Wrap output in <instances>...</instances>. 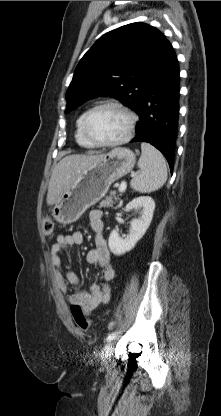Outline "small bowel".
Listing matches in <instances>:
<instances>
[{"label": "small bowel", "instance_id": "obj_1", "mask_svg": "<svg viewBox=\"0 0 221 416\" xmlns=\"http://www.w3.org/2000/svg\"><path fill=\"white\" fill-rule=\"evenodd\" d=\"M89 224L95 235V245L93 249L88 251L86 260L89 264L98 265L101 268L104 284L93 283L88 290H84L76 273L73 271L63 272L61 249L82 244L84 236L81 231H74L68 235H58L56 243L50 251L54 284L66 296L71 305L78 304L86 315L92 313L98 306L110 302L111 290L106 283L112 281L115 277L111 255L103 237L104 223L100 210L89 212ZM68 284L75 287L76 291L74 293L68 294Z\"/></svg>", "mask_w": 221, "mask_h": 416}]
</instances>
